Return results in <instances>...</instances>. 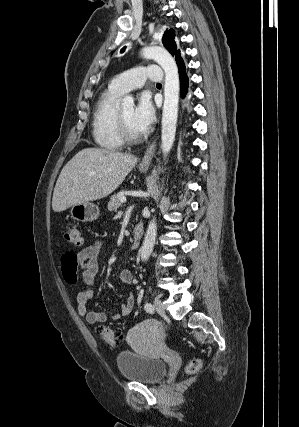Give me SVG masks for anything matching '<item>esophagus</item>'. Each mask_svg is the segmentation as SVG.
<instances>
[{
	"label": "esophagus",
	"instance_id": "34e87169",
	"mask_svg": "<svg viewBox=\"0 0 299 427\" xmlns=\"http://www.w3.org/2000/svg\"><path fill=\"white\" fill-rule=\"evenodd\" d=\"M155 146H156V140H154L152 143H150L144 153V156L141 160L142 166H148L151 163V160L155 153Z\"/></svg>",
	"mask_w": 299,
	"mask_h": 427
}]
</instances>
